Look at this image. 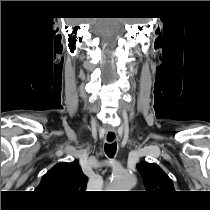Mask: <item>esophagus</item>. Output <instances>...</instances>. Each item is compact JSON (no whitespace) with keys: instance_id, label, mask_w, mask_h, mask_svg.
<instances>
[{"instance_id":"34e87169","label":"esophagus","mask_w":210,"mask_h":210,"mask_svg":"<svg viewBox=\"0 0 210 210\" xmlns=\"http://www.w3.org/2000/svg\"><path fill=\"white\" fill-rule=\"evenodd\" d=\"M117 140V134L116 132L107 131L105 134V141L107 143H113Z\"/></svg>"}]
</instances>
